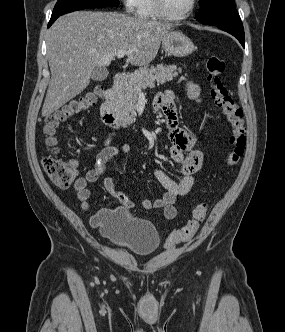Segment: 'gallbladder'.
<instances>
[{
  "instance_id": "bac80fb5",
  "label": "gallbladder",
  "mask_w": 285,
  "mask_h": 332,
  "mask_svg": "<svg viewBox=\"0 0 285 332\" xmlns=\"http://www.w3.org/2000/svg\"><path fill=\"white\" fill-rule=\"evenodd\" d=\"M108 70L105 67H96L91 75L94 81H103L108 77Z\"/></svg>"
}]
</instances>
